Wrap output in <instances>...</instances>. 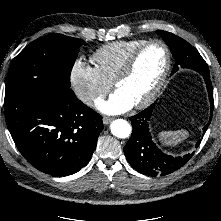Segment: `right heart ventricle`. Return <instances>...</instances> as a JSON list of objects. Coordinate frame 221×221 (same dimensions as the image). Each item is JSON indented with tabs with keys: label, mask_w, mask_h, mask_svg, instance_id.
<instances>
[{
	"label": "right heart ventricle",
	"mask_w": 221,
	"mask_h": 221,
	"mask_svg": "<svg viewBox=\"0 0 221 221\" xmlns=\"http://www.w3.org/2000/svg\"><path fill=\"white\" fill-rule=\"evenodd\" d=\"M145 41V39L120 40L99 47L92 58L103 78L108 82L113 81L128 56Z\"/></svg>",
	"instance_id": "e07e8e85"
}]
</instances>
